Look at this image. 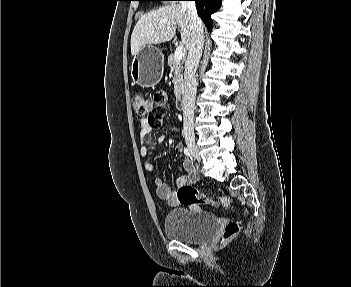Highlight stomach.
<instances>
[{
    "label": "stomach",
    "instance_id": "0dacf381",
    "mask_svg": "<svg viewBox=\"0 0 351 287\" xmlns=\"http://www.w3.org/2000/svg\"><path fill=\"white\" fill-rule=\"evenodd\" d=\"M164 72V55L152 45L143 46L134 55L131 63V76L134 83L149 88L157 85Z\"/></svg>",
    "mask_w": 351,
    "mask_h": 287
}]
</instances>
